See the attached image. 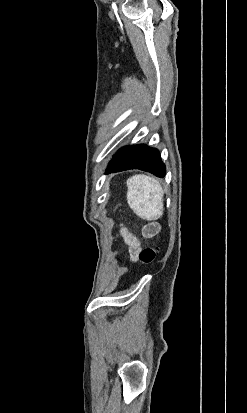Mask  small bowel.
Wrapping results in <instances>:
<instances>
[{
    "label": "small bowel",
    "instance_id": "c3829d8e",
    "mask_svg": "<svg viewBox=\"0 0 247 413\" xmlns=\"http://www.w3.org/2000/svg\"><path fill=\"white\" fill-rule=\"evenodd\" d=\"M159 231V226L155 223H149L146 226H144L142 230V234L145 238H151L155 234H157ZM120 233L123 236L125 242L127 243V236L132 235L134 236L125 226H121L120 228ZM135 237V236H134ZM136 238V237H135ZM136 249H140V242L136 239ZM128 244V243H127ZM129 245V244H128ZM130 246V245H129ZM131 248V246H130ZM132 251V248H131Z\"/></svg>",
    "mask_w": 247,
    "mask_h": 413
}]
</instances>
